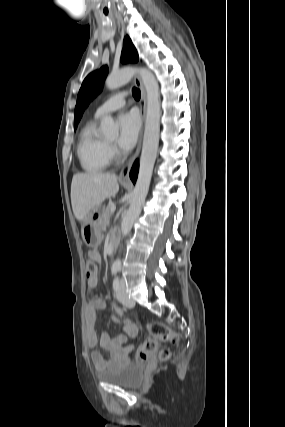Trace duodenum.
<instances>
[{"label":"duodenum","mask_w":285,"mask_h":427,"mask_svg":"<svg viewBox=\"0 0 285 427\" xmlns=\"http://www.w3.org/2000/svg\"><path fill=\"white\" fill-rule=\"evenodd\" d=\"M118 234L116 232H113L110 236L109 245H108V254L109 256H112L114 253V250L118 244Z\"/></svg>","instance_id":"410a0bca"}]
</instances>
